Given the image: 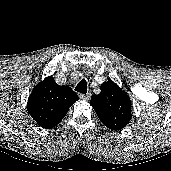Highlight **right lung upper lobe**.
Masks as SVG:
<instances>
[{
  "instance_id": "1",
  "label": "right lung upper lobe",
  "mask_w": 171,
  "mask_h": 171,
  "mask_svg": "<svg viewBox=\"0 0 171 171\" xmlns=\"http://www.w3.org/2000/svg\"><path fill=\"white\" fill-rule=\"evenodd\" d=\"M78 99L69 86H60L52 77H47L32 90L27 108L39 126L50 129L60 123Z\"/></svg>"
}]
</instances>
